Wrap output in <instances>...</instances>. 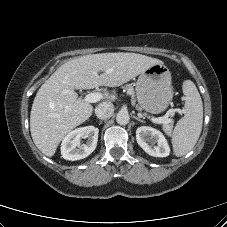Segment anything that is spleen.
I'll use <instances>...</instances> for the list:
<instances>
[{
    "label": "spleen",
    "mask_w": 227,
    "mask_h": 227,
    "mask_svg": "<svg viewBox=\"0 0 227 227\" xmlns=\"http://www.w3.org/2000/svg\"><path fill=\"white\" fill-rule=\"evenodd\" d=\"M182 89L185 95V115L177 122L172 133L173 151L177 157L193 149L203 123V104L196 85L191 80H185Z\"/></svg>",
    "instance_id": "3e777b00"
}]
</instances>
